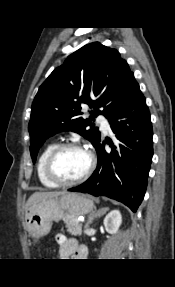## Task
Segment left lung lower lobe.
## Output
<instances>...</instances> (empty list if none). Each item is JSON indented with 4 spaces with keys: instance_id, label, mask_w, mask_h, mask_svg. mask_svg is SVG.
I'll list each match as a JSON object with an SVG mask.
<instances>
[{
    "instance_id": "0a47b994",
    "label": "left lung lower lobe",
    "mask_w": 175,
    "mask_h": 287,
    "mask_svg": "<svg viewBox=\"0 0 175 287\" xmlns=\"http://www.w3.org/2000/svg\"><path fill=\"white\" fill-rule=\"evenodd\" d=\"M109 121L116 134L115 143L107 142L112 151L107 153L100 141L96 170L86 182L69 191L106 196L136 212L145 195L153 156L150 112L138 84Z\"/></svg>"
}]
</instances>
